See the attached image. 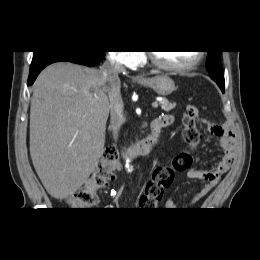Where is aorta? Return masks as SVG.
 Listing matches in <instances>:
<instances>
[{
	"label": "aorta",
	"mask_w": 260,
	"mask_h": 260,
	"mask_svg": "<svg viewBox=\"0 0 260 260\" xmlns=\"http://www.w3.org/2000/svg\"><path fill=\"white\" fill-rule=\"evenodd\" d=\"M126 168H128V170H130V169H129V164H128V162L126 163Z\"/></svg>",
	"instance_id": "1"
}]
</instances>
